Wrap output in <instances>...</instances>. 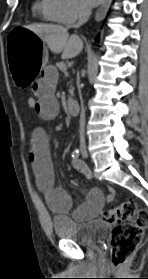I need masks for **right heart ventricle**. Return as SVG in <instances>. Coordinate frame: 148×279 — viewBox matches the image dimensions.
Here are the masks:
<instances>
[{
  "mask_svg": "<svg viewBox=\"0 0 148 279\" xmlns=\"http://www.w3.org/2000/svg\"><path fill=\"white\" fill-rule=\"evenodd\" d=\"M33 9L47 21L60 22L53 10L52 0H36Z\"/></svg>",
  "mask_w": 148,
  "mask_h": 279,
  "instance_id": "right-heart-ventricle-1",
  "label": "right heart ventricle"
}]
</instances>
